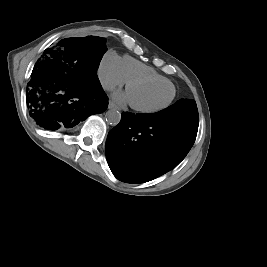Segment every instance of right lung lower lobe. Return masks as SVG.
<instances>
[{
  "mask_svg": "<svg viewBox=\"0 0 267 267\" xmlns=\"http://www.w3.org/2000/svg\"><path fill=\"white\" fill-rule=\"evenodd\" d=\"M45 53L35 64L26 93L29 114L39 127L66 130L107 109L97 73L87 70L83 59L64 46Z\"/></svg>",
  "mask_w": 267,
  "mask_h": 267,
  "instance_id": "98d812e1",
  "label": "right lung lower lobe"
}]
</instances>
